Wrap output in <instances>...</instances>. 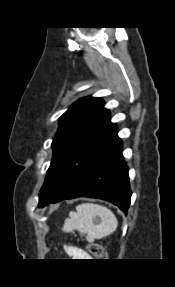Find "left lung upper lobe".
<instances>
[{"label": "left lung upper lobe", "instance_id": "left-lung-upper-lobe-1", "mask_svg": "<svg viewBox=\"0 0 175 287\" xmlns=\"http://www.w3.org/2000/svg\"><path fill=\"white\" fill-rule=\"evenodd\" d=\"M117 126L102 98L78 100L59 118L53 157L39 194V207L49 204L117 138Z\"/></svg>", "mask_w": 175, "mask_h": 287}]
</instances>
